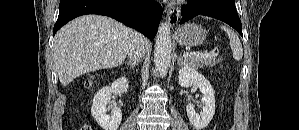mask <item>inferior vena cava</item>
<instances>
[{
    "instance_id": "602c4592",
    "label": "inferior vena cava",
    "mask_w": 299,
    "mask_h": 130,
    "mask_svg": "<svg viewBox=\"0 0 299 130\" xmlns=\"http://www.w3.org/2000/svg\"><path fill=\"white\" fill-rule=\"evenodd\" d=\"M144 54V38L140 33L133 31L131 41L128 46L127 55L130 58V60L134 62H139L144 56Z\"/></svg>"
}]
</instances>
